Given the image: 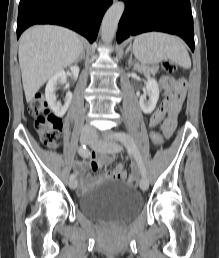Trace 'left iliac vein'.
Returning a JSON list of instances; mask_svg holds the SVG:
<instances>
[{
    "label": "left iliac vein",
    "mask_w": 219,
    "mask_h": 258,
    "mask_svg": "<svg viewBox=\"0 0 219 258\" xmlns=\"http://www.w3.org/2000/svg\"><path fill=\"white\" fill-rule=\"evenodd\" d=\"M112 137H116V134H113ZM89 145L92 149L102 152H109V153H118L121 151V146L110 142V141H99L97 139V134L93 133L92 139L89 142ZM139 186L141 190L145 191L148 189V181L145 176H142L139 180Z\"/></svg>",
    "instance_id": "1"
}]
</instances>
